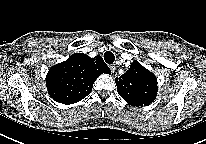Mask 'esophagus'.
<instances>
[{"mask_svg":"<svg viewBox=\"0 0 206 144\" xmlns=\"http://www.w3.org/2000/svg\"><path fill=\"white\" fill-rule=\"evenodd\" d=\"M109 67H110L111 72H112V73H114V72H115V70H116L115 65H110Z\"/></svg>","mask_w":206,"mask_h":144,"instance_id":"34e87169","label":"esophagus"}]
</instances>
